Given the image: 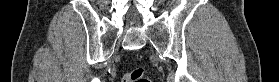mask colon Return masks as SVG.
I'll list each match as a JSON object with an SVG mask.
<instances>
[{
    "instance_id": "obj_1",
    "label": "colon",
    "mask_w": 279,
    "mask_h": 82,
    "mask_svg": "<svg viewBox=\"0 0 279 82\" xmlns=\"http://www.w3.org/2000/svg\"><path fill=\"white\" fill-rule=\"evenodd\" d=\"M121 82H149L144 70L139 68L131 72L125 73L121 77Z\"/></svg>"
}]
</instances>
